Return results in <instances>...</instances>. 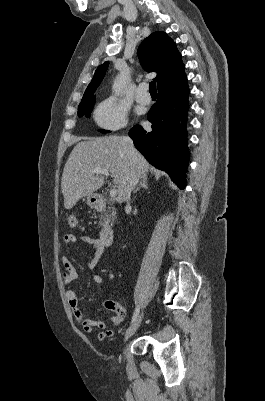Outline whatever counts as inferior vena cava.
<instances>
[{"label":"inferior vena cava","mask_w":265,"mask_h":401,"mask_svg":"<svg viewBox=\"0 0 265 401\" xmlns=\"http://www.w3.org/2000/svg\"><path fill=\"white\" fill-rule=\"evenodd\" d=\"M124 140H125V142H127L128 146H133V140H131V138H129V136H124ZM138 180H139L138 174H136V172H133V174H131V178H130L128 184H126V186L124 188L125 201H130L131 192H132L134 186H136Z\"/></svg>","instance_id":"inferior-vena-cava-1"}]
</instances>
